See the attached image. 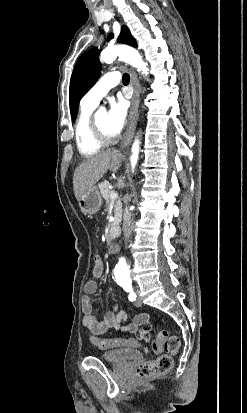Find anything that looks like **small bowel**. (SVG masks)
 <instances>
[{
  "mask_svg": "<svg viewBox=\"0 0 247 413\" xmlns=\"http://www.w3.org/2000/svg\"><path fill=\"white\" fill-rule=\"evenodd\" d=\"M97 291V282H86L83 289L81 307L83 312V326L91 331L94 335H100L109 329L120 332L134 333L137 338H141L138 342L140 349H146L148 342L151 341L150 330L152 324H149L147 318L148 313H141L134 316L131 321L125 324L127 314L124 311H119L118 305L114 306L112 311L105 312L101 315L95 313V305L91 300V296ZM164 322V317L160 315ZM141 328V329H140Z\"/></svg>",
  "mask_w": 247,
  "mask_h": 413,
  "instance_id": "obj_1",
  "label": "small bowel"
}]
</instances>
